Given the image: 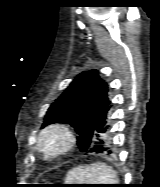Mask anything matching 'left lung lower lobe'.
<instances>
[{
    "label": "left lung lower lobe",
    "instance_id": "obj_1",
    "mask_svg": "<svg viewBox=\"0 0 160 187\" xmlns=\"http://www.w3.org/2000/svg\"><path fill=\"white\" fill-rule=\"evenodd\" d=\"M109 110V105L105 109L104 113L102 114L99 122L97 123L93 134L90 135H84V140H89L88 142L91 144V147L86 152H96V153H102L104 151H107L108 153H111V144L107 140L106 133L108 126L106 125L107 121V112Z\"/></svg>",
    "mask_w": 160,
    "mask_h": 187
}]
</instances>
